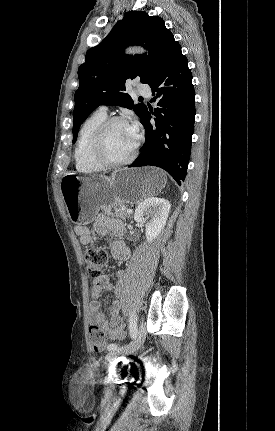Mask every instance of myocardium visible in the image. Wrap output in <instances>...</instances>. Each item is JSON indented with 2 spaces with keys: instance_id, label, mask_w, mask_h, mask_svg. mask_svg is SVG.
I'll list each match as a JSON object with an SVG mask.
<instances>
[{
  "instance_id": "obj_1",
  "label": "myocardium",
  "mask_w": 275,
  "mask_h": 431,
  "mask_svg": "<svg viewBox=\"0 0 275 431\" xmlns=\"http://www.w3.org/2000/svg\"><path fill=\"white\" fill-rule=\"evenodd\" d=\"M118 123H126L127 120L120 116L106 118L96 129L90 144V154L92 159L102 168L114 169L131 164L136 158L138 142L135 143L131 154L124 160L113 161L105 154V140L110 128Z\"/></svg>"
}]
</instances>
